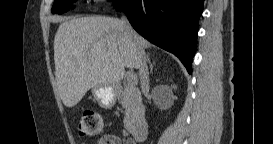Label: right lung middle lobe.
Wrapping results in <instances>:
<instances>
[{"mask_svg": "<svg viewBox=\"0 0 273 144\" xmlns=\"http://www.w3.org/2000/svg\"><path fill=\"white\" fill-rule=\"evenodd\" d=\"M76 0H55L51 12L53 14H62L71 9Z\"/></svg>", "mask_w": 273, "mask_h": 144, "instance_id": "right-lung-middle-lobe-1", "label": "right lung middle lobe"}]
</instances>
